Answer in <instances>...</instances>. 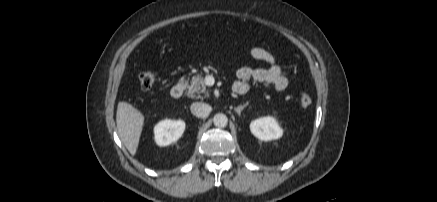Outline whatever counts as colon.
I'll return each mask as SVG.
<instances>
[{"instance_id": "1", "label": "colon", "mask_w": 437, "mask_h": 202, "mask_svg": "<svg viewBox=\"0 0 437 202\" xmlns=\"http://www.w3.org/2000/svg\"><path fill=\"white\" fill-rule=\"evenodd\" d=\"M156 80H157L156 74L151 70H143L139 74V83L141 88L144 90L151 89L156 83ZM311 102H312L311 97L308 94L303 93L300 95L299 103L301 107L307 108L311 105Z\"/></svg>"}]
</instances>
